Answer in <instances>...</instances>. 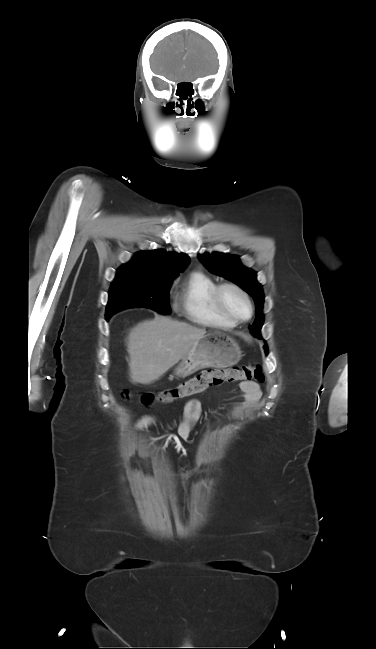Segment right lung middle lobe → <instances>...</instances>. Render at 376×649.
Returning <instances> with one entry per match:
<instances>
[{
	"label": "right lung middle lobe",
	"mask_w": 376,
	"mask_h": 649,
	"mask_svg": "<svg viewBox=\"0 0 376 649\" xmlns=\"http://www.w3.org/2000/svg\"><path fill=\"white\" fill-rule=\"evenodd\" d=\"M177 274L150 275L133 264L122 265L110 287L106 320L114 313L131 307H147L169 314V288Z\"/></svg>",
	"instance_id": "1"
}]
</instances>
